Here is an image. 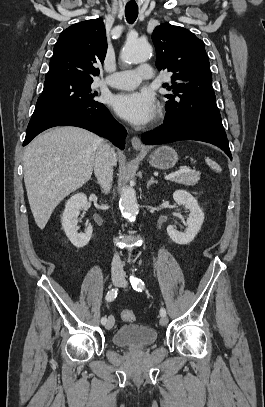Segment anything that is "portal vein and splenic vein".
I'll return each mask as SVG.
<instances>
[{"label":"portal vein and splenic vein","mask_w":265,"mask_h":407,"mask_svg":"<svg viewBox=\"0 0 265 407\" xmlns=\"http://www.w3.org/2000/svg\"><path fill=\"white\" fill-rule=\"evenodd\" d=\"M182 173H183L182 170H178V171H176V172H172V173L168 174L167 176H165V179H166V180L172 179V178H174V177H176V176H178V175H180V174H182Z\"/></svg>","instance_id":"portal-vein-and-splenic-vein-1"}]
</instances>
